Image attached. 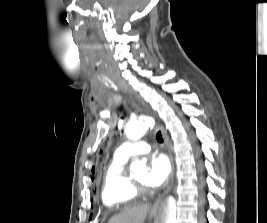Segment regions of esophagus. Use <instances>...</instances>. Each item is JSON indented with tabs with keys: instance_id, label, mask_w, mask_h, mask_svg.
Masks as SVG:
<instances>
[{
	"instance_id": "obj_1",
	"label": "esophagus",
	"mask_w": 267,
	"mask_h": 223,
	"mask_svg": "<svg viewBox=\"0 0 267 223\" xmlns=\"http://www.w3.org/2000/svg\"><path fill=\"white\" fill-rule=\"evenodd\" d=\"M158 129L160 130L161 134H162V137L164 139V143H165V146L168 150V153H169V158L171 160V163H172V173H171V184L169 185V187L167 188L166 192L165 193H168L170 190H171V187H172V182H173V177H174V162H173V156H172V150H171V145H170V142H169V138L167 136V133L165 131V129L162 127V126H159ZM162 198H159L153 205L151 211L152 212H156L159 205H160V202H161Z\"/></svg>"
}]
</instances>
